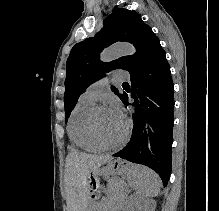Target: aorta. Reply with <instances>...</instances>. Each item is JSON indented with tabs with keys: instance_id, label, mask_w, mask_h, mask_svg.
I'll use <instances>...</instances> for the list:
<instances>
[{
	"instance_id": "aorta-1",
	"label": "aorta",
	"mask_w": 219,
	"mask_h": 211,
	"mask_svg": "<svg viewBox=\"0 0 219 211\" xmlns=\"http://www.w3.org/2000/svg\"><path fill=\"white\" fill-rule=\"evenodd\" d=\"M134 53L135 48L132 45L128 43H120L104 50L101 54V60L104 62H109L119 56L133 55Z\"/></svg>"
}]
</instances>
